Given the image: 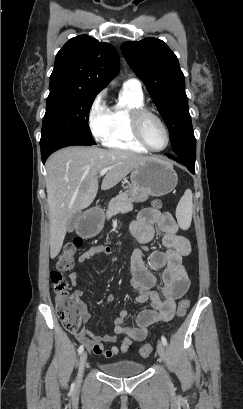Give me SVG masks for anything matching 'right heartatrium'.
Here are the masks:
<instances>
[{
  "instance_id": "obj_1",
  "label": "right heart atrium",
  "mask_w": 243,
  "mask_h": 409,
  "mask_svg": "<svg viewBox=\"0 0 243 409\" xmlns=\"http://www.w3.org/2000/svg\"><path fill=\"white\" fill-rule=\"evenodd\" d=\"M89 129L97 140L104 141L112 128L111 112L105 102V92H99L92 100L87 114Z\"/></svg>"
}]
</instances>
